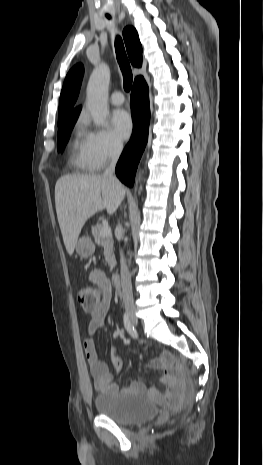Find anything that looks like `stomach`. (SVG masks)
<instances>
[{"label": "stomach", "instance_id": "0dacf381", "mask_svg": "<svg viewBox=\"0 0 263 465\" xmlns=\"http://www.w3.org/2000/svg\"><path fill=\"white\" fill-rule=\"evenodd\" d=\"M75 249L81 258H88L94 254L95 245L89 236H82L77 240Z\"/></svg>", "mask_w": 263, "mask_h": 465}]
</instances>
